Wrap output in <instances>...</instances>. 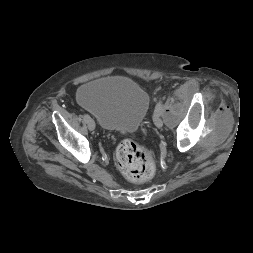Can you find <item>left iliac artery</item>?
Instances as JSON below:
<instances>
[{
    "label": "left iliac artery",
    "mask_w": 253,
    "mask_h": 253,
    "mask_svg": "<svg viewBox=\"0 0 253 253\" xmlns=\"http://www.w3.org/2000/svg\"><path fill=\"white\" fill-rule=\"evenodd\" d=\"M155 112H160V114H163V105L160 101L155 106Z\"/></svg>",
    "instance_id": "left-iliac-artery-1"
}]
</instances>
